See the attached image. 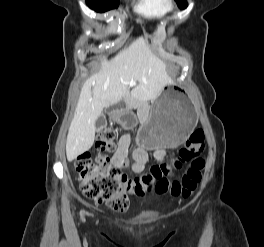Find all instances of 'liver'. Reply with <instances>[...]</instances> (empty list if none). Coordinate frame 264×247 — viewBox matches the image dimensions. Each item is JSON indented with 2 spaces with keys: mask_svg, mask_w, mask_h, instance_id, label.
Segmentation results:
<instances>
[{
  "mask_svg": "<svg viewBox=\"0 0 264 247\" xmlns=\"http://www.w3.org/2000/svg\"><path fill=\"white\" fill-rule=\"evenodd\" d=\"M100 70L83 85L66 140L69 162L88 151L95 139V123L104 107L129 97V85L135 83L132 98L140 102L156 99L172 83L166 66L149 47L146 37L135 39L110 60L100 59ZM137 83V84H136Z\"/></svg>",
  "mask_w": 264,
  "mask_h": 247,
  "instance_id": "1",
  "label": "liver"
}]
</instances>
